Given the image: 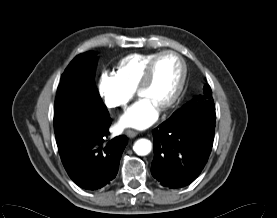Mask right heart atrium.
<instances>
[{"label":"right heart atrium","mask_w":277,"mask_h":218,"mask_svg":"<svg viewBox=\"0 0 277 218\" xmlns=\"http://www.w3.org/2000/svg\"><path fill=\"white\" fill-rule=\"evenodd\" d=\"M98 91L108 108L125 107L135 94V89L129 86L117 72L102 71Z\"/></svg>","instance_id":"right-heart-atrium-1"}]
</instances>
